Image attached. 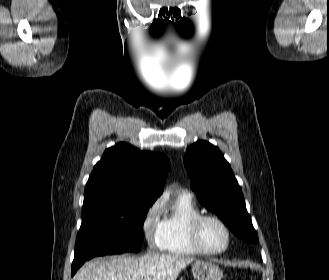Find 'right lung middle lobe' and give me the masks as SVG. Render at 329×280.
I'll return each instance as SVG.
<instances>
[{"label": "right lung middle lobe", "instance_id": "dd1d6c3e", "mask_svg": "<svg viewBox=\"0 0 329 280\" xmlns=\"http://www.w3.org/2000/svg\"><path fill=\"white\" fill-rule=\"evenodd\" d=\"M155 198L121 197L88 206L76 238L72 275L95 256L139 252L143 223Z\"/></svg>", "mask_w": 329, "mask_h": 280}]
</instances>
